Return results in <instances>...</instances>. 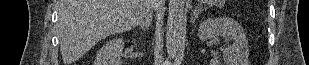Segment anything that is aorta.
I'll use <instances>...</instances> for the list:
<instances>
[{"mask_svg": "<svg viewBox=\"0 0 309 65\" xmlns=\"http://www.w3.org/2000/svg\"><path fill=\"white\" fill-rule=\"evenodd\" d=\"M185 0H169L166 25V50L174 58L179 50L184 30Z\"/></svg>", "mask_w": 309, "mask_h": 65, "instance_id": "aorta-1", "label": "aorta"}]
</instances>
